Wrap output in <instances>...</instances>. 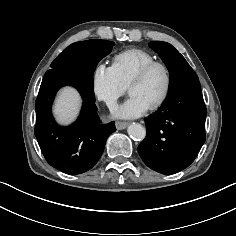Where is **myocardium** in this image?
<instances>
[{
    "label": "myocardium",
    "mask_w": 236,
    "mask_h": 236,
    "mask_svg": "<svg viewBox=\"0 0 236 236\" xmlns=\"http://www.w3.org/2000/svg\"><path fill=\"white\" fill-rule=\"evenodd\" d=\"M155 68H161L164 71L166 77V84L160 98L149 107L151 110L160 108L169 97L172 88V73L169 66L161 61L150 62L138 71V73L133 77V79L128 85V90L130 91L132 86L144 81L146 77L150 74V72Z\"/></svg>",
    "instance_id": "obj_1"
}]
</instances>
